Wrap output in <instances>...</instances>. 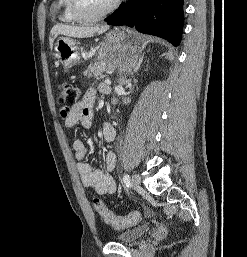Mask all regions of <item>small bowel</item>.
Wrapping results in <instances>:
<instances>
[{"label":"small bowel","mask_w":247,"mask_h":257,"mask_svg":"<svg viewBox=\"0 0 247 257\" xmlns=\"http://www.w3.org/2000/svg\"><path fill=\"white\" fill-rule=\"evenodd\" d=\"M105 84H101L98 89H102ZM96 99V90L88 89L82 100L78 101L74 106L62 111V117L66 128H72L80 123L84 128L88 129L93 122V107ZM102 136L105 142L110 143L115 138V129L111 123L105 122L102 125ZM75 158L77 159V170L80 175L82 184L85 187L95 190L99 195L114 194L116 192V183L109 174L115 167L116 157L113 152H108L105 159V169L93 170L89 163L85 161L88 155V148L81 140L73 143Z\"/></svg>","instance_id":"small-bowel-1"}]
</instances>
